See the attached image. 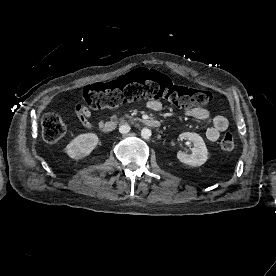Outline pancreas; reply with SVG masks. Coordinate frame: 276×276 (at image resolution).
Instances as JSON below:
<instances>
[{
  "mask_svg": "<svg viewBox=\"0 0 276 276\" xmlns=\"http://www.w3.org/2000/svg\"><path fill=\"white\" fill-rule=\"evenodd\" d=\"M114 118L116 119V116H114ZM125 118L132 119V116H130L129 114H125V115L121 118V121H122V122H125Z\"/></svg>",
  "mask_w": 276,
  "mask_h": 276,
  "instance_id": "1",
  "label": "pancreas"
}]
</instances>
